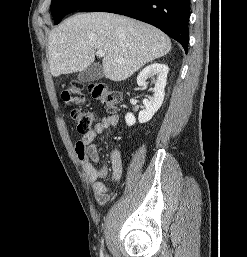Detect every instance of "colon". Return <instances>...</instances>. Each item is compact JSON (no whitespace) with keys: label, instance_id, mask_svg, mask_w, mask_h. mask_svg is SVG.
Masks as SVG:
<instances>
[{"label":"colon","instance_id":"5ec220e1","mask_svg":"<svg viewBox=\"0 0 247 257\" xmlns=\"http://www.w3.org/2000/svg\"><path fill=\"white\" fill-rule=\"evenodd\" d=\"M88 89L92 97L96 99L106 111L113 113L117 110L119 94L109 85L102 82H94L88 85ZM62 99L68 105L79 107L71 111V116L76 124L77 131L80 133L91 131L98 116L94 111L80 108L86 103L83 85L78 82L69 84L62 92Z\"/></svg>","mask_w":247,"mask_h":257}]
</instances>
